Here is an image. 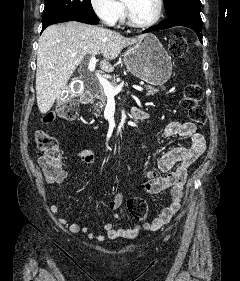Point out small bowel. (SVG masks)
<instances>
[{"instance_id": "small-bowel-1", "label": "small bowel", "mask_w": 240, "mask_h": 281, "mask_svg": "<svg viewBox=\"0 0 240 281\" xmlns=\"http://www.w3.org/2000/svg\"><path fill=\"white\" fill-rule=\"evenodd\" d=\"M142 119L149 118V114L142 111ZM179 136L186 138L187 142L177 146L165 153L158 163V170H151L147 173L146 181L137 186L146 193L156 195L164 190L170 189L171 201L164 208L160 215L151 223L135 226L132 228H115L113 222L118 218L115 211L122 205L123 194L118 192L114 199L109 203L108 207L112 213L111 222H107L103 226L104 235L95 234L88 227H81L77 223L68 224L67 220L58 217L61 224L68 225L71 233H85L90 239L103 241L104 239H132L135 238L142 230H158L163 225L169 223L174 215L178 212L181 200L184 194V184L188 177V172L193 163L205 151V138L197 131V127L192 122H170L162 131L163 138H171ZM82 162L92 165L95 163V153L91 149H83L73 155ZM163 173L164 175L160 174ZM70 172L61 168L54 176L46 174V180L51 185H60L67 181ZM51 211L54 214L59 213V208L56 205L51 206Z\"/></svg>"}]
</instances>
